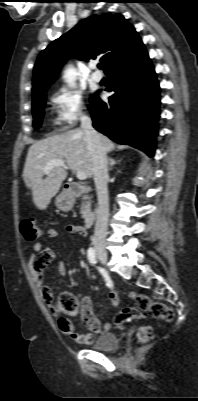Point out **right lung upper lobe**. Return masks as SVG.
I'll list each match as a JSON object with an SVG mask.
<instances>
[{"label": "right lung upper lobe", "mask_w": 198, "mask_h": 401, "mask_svg": "<svg viewBox=\"0 0 198 401\" xmlns=\"http://www.w3.org/2000/svg\"><path fill=\"white\" fill-rule=\"evenodd\" d=\"M142 43L135 28L121 14L93 15L43 50L33 72L32 96L46 92L64 62L99 58L107 72Z\"/></svg>", "instance_id": "right-lung-upper-lobe-1"}]
</instances>
